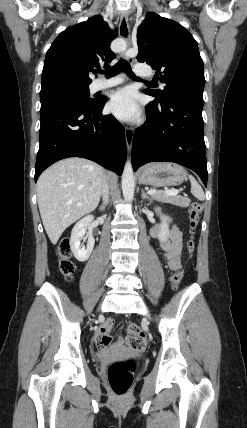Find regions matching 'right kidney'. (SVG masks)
I'll return each mask as SVG.
<instances>
[{
  "label": "right kidney",
  "mask_w": 247,
  "mask_h": 428,
  "mask_svg": "<svg viewBox=\"0 0 247 428\" xmlns=\"http://www.w3.org/2000/svg\"><path fill=\"white\" fill-rule=\"evenodd\" d=\"M93 220L92 215H88L81 219L79 222L76 223V225L73 227L71 232V238H70V247L71 251L73 252L75 258L80 261L84 262L86 261L94 248L95 239L92 236V234H87V246L81 245V240L85 236L86 231Z\"/></svg>",
  "instance_id": "obj_1"
}]
</instances>
